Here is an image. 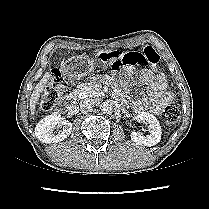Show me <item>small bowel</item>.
I'll use <instances>...</instances> for the list:
<instances>
[{"mask_svg":"<svg viewBox=\"0 0 209 209\" xmlns=\"http://www.w3.org/2000/svg\"><path fill=\"white\" fill-rule=\"evenodd\" d=\"M125 76L128 78L126 87H132L133 81L138 76V69L135 66H128L125 69ZM140 80L147 87V96L136 98L132 101V108L137 112L150 111L156 115L161 114L172 102L173 95L167 88V82L163 73L143 68L140 71ZM105 80L109 84H114V79L106 76ZM115 94L119 98H124L123 90L116 88Z\"/></svg>","mask_w":209,"mask_h":209,"instance_id":"c3829d8e","label":"small bowel"}]
</instances>
